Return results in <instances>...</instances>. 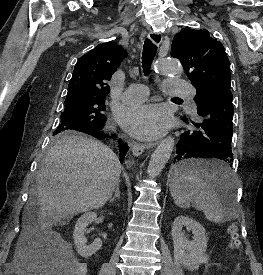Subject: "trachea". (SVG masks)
<instances>
[{
  "instance_id": "3493384b",
  "label": "trachea",
  "mask_w": 263,
  "mask_h": 275,
  "mask_svg": "<svg viewBox=\"0 0 263 275\" xmlns=\"http://www.w3.org/2000/svg\"><path fill=\"white\" fill-rule=\"evenodd\" d=\"M156 52L157 46L150 39L147 38L144 42L142 53V67L146 76L150 73L151 63L156 55Z\"/></svg>"
}]
</instances>
